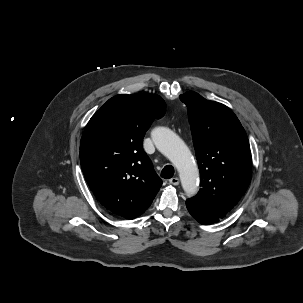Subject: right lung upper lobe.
<instances>
[{
  "mask_svg": "<svg viewBox=\"0 0 303 303\" xmlns=\"http://www.w3.org/2000/svg\"><path fill=\"white\" fill-rule=\"evenodd\" d=\"M165 108L158 95H116L84 130L80 162L85 179L97 200L115 215L125 219L141 215L162 185L142 143Z\"/></svg>",
  "mask_w": 303,
  "mask_h": 303,
  "instance_id": "cb5924a9",
  "label": "right lung upper lobe"
}]
</instances>
